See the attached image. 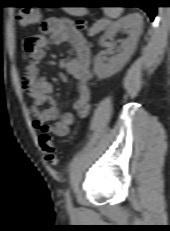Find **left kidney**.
I'll return each mask as SVG.
<instances>
[{"label": "left kidney", "instance_id": "5707ae66", "mask_svg": "<svg viewBox=\"0 0 170 231\" xmlns=\"http://www.w3.org/2000/svg\"><path fill=\"white\" fill-rule=\"evenodd\" d=\"M143 19L140 14L132 13L112 23L100 38L99 44L104 45L106 39H111L120 30H127L129 37L122 41V51L105 62L101 55L94 60V72L99 79H105L122 69L133 54L142 32Z\"/></svg>", "mask_w": 170, "mask_h": 231}]
</instances>
